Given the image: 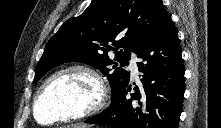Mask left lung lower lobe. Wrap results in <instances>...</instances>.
<instances>
[{
    "label": "left lung lower lobe",
    "mask_w": 221,
    "mask_h": 128,
    "mask_svg": "<svg viewBox=\"0 0 221 128\" xmlns=\"http://www.w3.org/2000/svg\"><path fill=\"white\" fill-rule=\"evenodd\" d=\"M142 61L140 89L127 99L125 86L112 103L85 123L115 128H178L184 98V66L177 29L170 14L136 52Z\"/></svg>",
    "instance_id": "0a47b994"
}]
</instances>
